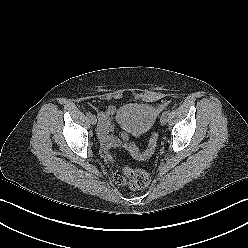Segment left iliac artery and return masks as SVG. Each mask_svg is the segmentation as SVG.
<instances>
[{
    "mask_svg": "<svg viewBox=\"0 0 248 248\" xmlns=\"http://www.w3.org/2000/svg\"><path fill=\"white\" fill-rule=\"evenodd\" d=\"M163 114H167L168 115L169 114V111H165Z\"/></svg>",
    "mask_w": 248,
    "mask_h": 248,
    "instance_id": "44dca946",
    "label": "left iliac artery"
}]
</instances>
